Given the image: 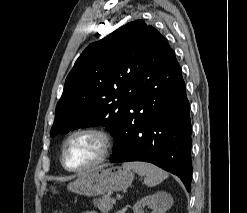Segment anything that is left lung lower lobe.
I'll list each match as a JSON object with an SVG mask.
<instances>
[{"label": "left lung lower lobe", "mask_w": 247, "mask_h": 213, "mask_svg": "<svg viewBox=\"0 0 247 213\" xmlns=\"http://www.w3.org/2000/svg\"><path fill=\"white\" fill-rule=\"evenodd\" d=\"M181 68L170 51L146 74L115 137L112 162L146 161L191 189V122Z\"/></svg>", "instance_id": "0a47b994"}]
</instances>
